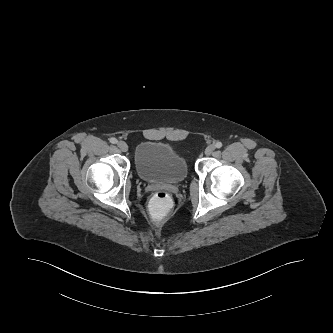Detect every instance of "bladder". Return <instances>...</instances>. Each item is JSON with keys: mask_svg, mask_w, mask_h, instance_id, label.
Listing matches in <instances>:
<instances>
[{"mask_svg": "<svg viewBox=\"0 0 333 333\" xmlns=\"http://www.w3.org/2000/svg\"><path fill=\"white\" fill-rule=\"evenodd\" d=\"M137 175L146 182L177 184L188 174V163L174 148L155 141L137 145L133 155Z\"/></svg>", "mask_w": 333, "mask_h": 333, "instance_id": "bladder-1", "label": "bladder"}]
</instances>
